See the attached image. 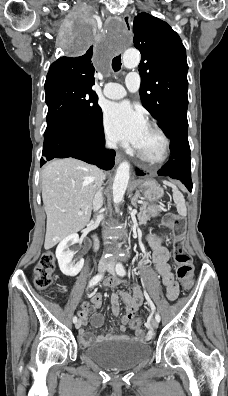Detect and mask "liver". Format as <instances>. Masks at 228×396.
Returning a JSON list of instances; mask_svg holds the SVG:
<instances>
[{
  "mask_svg": "<svg viewBox=\"0 0 228 396\" xmlns=\"http://www.w3.org/2000/svg\"><path fill=\"white\" fill-rule=\"evenodd\" d=\"M103 172L73 158L48 163L42 171V200L47 215L44 248L55 246L90 221L92 200ZM82 211L83 215H78Z\"/></svg>",
  "mask_w": 228,
  "mask_h": 396,
  "instance_id": "1",
  "label": "liver"
}]
</instances>
